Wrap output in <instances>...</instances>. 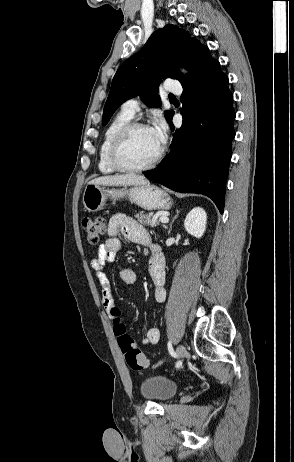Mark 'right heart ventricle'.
<instances>
[{"label": "right heart ventricle", "instance_id": "right-heart-ventricle-1", "mask_svg": "<svg viewBox=\"0 0 294 462\" xmlns=\"http://www.w3.org/2000/svg\"><path fill=\"white\" fill-rule=\"evenodd\" d=\"M132 118V114L121 109V111L111 120L107 126L98 151V169L101 173L113 174L117 172V170L112 167L108 161V149L114 136L123 126L131 122Z\"/></svg>", "mask_w": 294, "mask_h": 462}]
</instances>
